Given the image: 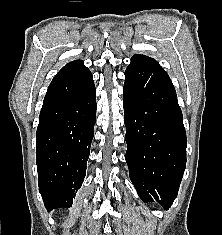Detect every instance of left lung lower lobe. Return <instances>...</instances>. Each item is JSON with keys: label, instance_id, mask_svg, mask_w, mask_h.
Instances as JSON below:
<instances>
[{"label": "left lung lower lobe", "instance_id": "left-lung-lower-lobe-1", "mask_svg": "<svg viewBox=\"0 0 222 235\" xmlns=\"http://www.w3.org/2000/svg\"><path fill=\"white\" fill-rule=\"evenodd\" d=\"M123 93L130 179L143 202L167 210L186 167L187 139L175 88L158 62L132 57Z\"/></svg>", "mask_w": 222, "mask_h": 235}]
</instances>
